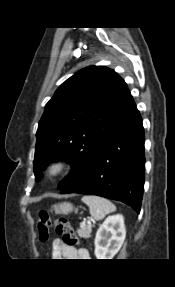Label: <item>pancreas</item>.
<instances>
[{
  "mask_svg": "<svg viewBox=\"0 0 175 287\" xmlns=\"http://www.w3.org/2000/svg\"><path fill=\"white\" fill-rule=\"evenodd\" d=\"M91 229H92L91 225H86V226L80 228L77 231V233L81 238H89L90 234H91Z\"/></svg>",
  "mask_w": 175,
  "mask_h": 287,
  "instance_id": "cf45deb5",
  "label": "pancreas"
}]
</instances>
